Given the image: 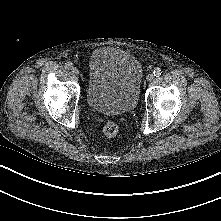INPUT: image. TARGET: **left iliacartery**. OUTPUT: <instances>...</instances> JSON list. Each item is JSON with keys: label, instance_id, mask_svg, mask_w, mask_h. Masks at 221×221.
<instances>
[{"label": "left iliac artery", "instance_id": "1", "mask_svg": "<svg viewBox=\"0 0 221 221\" xmlns=\"http://www.w3.org/2000/svg\"><path fill=\"white\" fill-rule=\"evenodd\" d=\"M153 74H154V76L159 77V76H161L162 71H161V69L156 68V69H154Z\"/></svg>", "mask_w": 221, "mask_h": 221}]
</instances>
